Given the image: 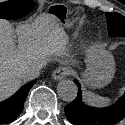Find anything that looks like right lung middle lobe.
I'll return each mask as SVG.
<instances>
[{
    "label": "right lung middle lobe",
    "mask_w": 125,
    "mask_h": 125,
    "mask_svg": "<svg viewBox=\"0 0 125 125\" xmlns=\"http://www.w3.org/2000/svg\"><path fill=\"white\" fill-rule=\"evenodd\" d=\"M35 3L32 0H9L0 3V18L18 19L28 14Z\"/></svg>",
    "instance_id": "1"
}]
</instances>
